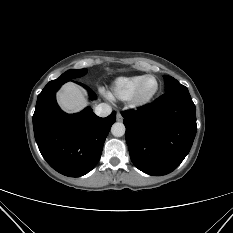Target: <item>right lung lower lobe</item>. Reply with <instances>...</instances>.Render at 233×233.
Segmentation results:
<instances>
[{"label": "right lung lower lobe", "instance_id": "98d812e1", "mask_svg": "<svg viewBox=\"0 0 233 233\" xmlns=\"http://www.w3.org/2000/svg\"><path fill=\"white\" fill-rule=\"evenodd\" d=\"M63 83L50 81L38 95L33 115L34 135L42 156L53 169L69 177H80L99 161L116 113L100 118L90 107L79 114L64 113L55 98ZM84 87L90 98L95 99L96 94Z\"/></svg>", "mask_w": 233, "mask_h": 233}]
</instances>
